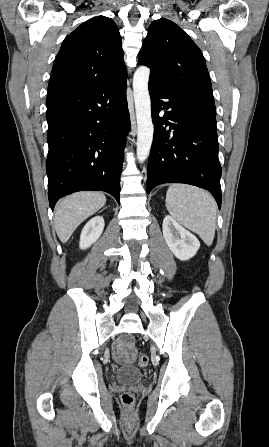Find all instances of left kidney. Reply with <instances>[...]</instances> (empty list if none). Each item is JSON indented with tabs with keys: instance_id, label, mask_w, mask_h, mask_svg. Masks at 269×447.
Masks as SVG:
<instances>
[{
	"instance_id": "obj_1",
	"label": "left kidney",
	"mask_w": 269,
	"mask_h": 447,
	"mask_svg": "<svg viewBox=\"0 0 269 447\" xmlns=\"http://www.w3.org/2000/svg\"><path fill=\"white\" fill-rule=\"evenodd\" d=\"M162 229L168 247L178 259H190L199 249V239L182 225L177 224L171 216H165Z\"/></svg>"
}]
</instances>
